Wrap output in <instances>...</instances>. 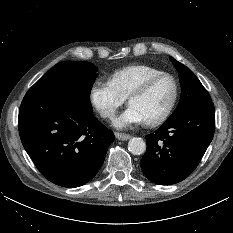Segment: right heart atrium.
Masks as SVG:
<instances>
[{"label":"right heart atrium","mask_w":233,"mask_h":233,"mask_svg":"<svg viewBox=\"0 0 233 233\" xmlns=\"http://www.w3.org/2000/svg\"><path fill=\"white\" fill-rule=\"evenodd\" d=\"M89 98L95 110L105 119H113L126 101L110 80L97 79L93 82Z\"/></svg>","instance_id":"1"}]
</instances>
